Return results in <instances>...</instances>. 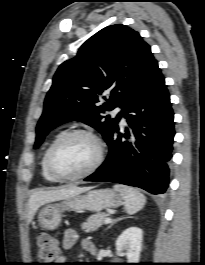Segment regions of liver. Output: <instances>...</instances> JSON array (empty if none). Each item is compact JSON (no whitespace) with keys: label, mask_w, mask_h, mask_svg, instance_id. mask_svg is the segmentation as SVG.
<instances>
[{"label":"liver","mask_w":205,"mask_h":265,"mask_svg":"<svg viewBox=\"0 0 205 265\" xmlns=\"http://www.w3.org/2000/svg\"><path fill=\"white\" fill-rule=\"evenodd\" d=\"M91 187H78L76 185H68L61 187L57 190H37L35 191L28 201V217L27 221L28 223L31 222L33 219V216L37 212V210L43 206L44 204L63 200L75 195L82 194L88 190H90Z\"/></svg>","instance_id":"obj_1"}]
</instances>
